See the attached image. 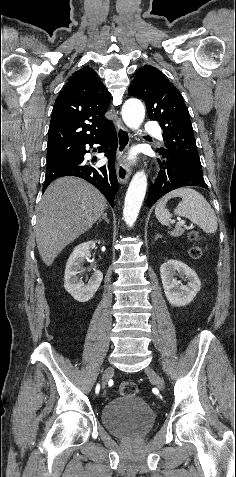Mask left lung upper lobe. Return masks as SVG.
<instances>
[{"label":"left lung upper lobe","instance_id":"left-lung-upper-lobe-1","mask_svg":"<svg viewBox=\"0 0 236 477\" xmlns=\"http://www.w3.org/2000/svg\"><path fill=\"white\" fill-rule=\"evenodd\" d=\"M128 92L145 101L149 118L159 121L163 129L165 148H158V153L203 174L189 112L176 87L161 71L145 65L138 69Z\"/></svg>","mask_w":236,"mask_h":477}]
</instances>
